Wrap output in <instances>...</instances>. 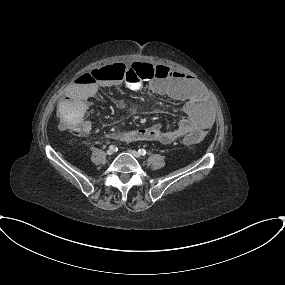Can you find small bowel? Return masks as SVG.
I'll use <instances>...</instances> for the list:
<instances>
[{"instance_id":"c3829d8e","label":"small bowel","mask_w":285,"mask_h":285,"mask_svg":"<svg viewBox=\"0 0 285 285\" xmlns=\"http://www.w3.org/2000/svg\"><path fill=\"white\" fill-rule=\"evenodd\" d=\"M120 65H122L121 69L114 75L91 84L80 83L77 80L72 82L68 88L67 96L58 104L59 117L70 120L79 117L81 121L79 131L82 134H89L93 129V123L83 119L89 109L88 101L100 87L115 88L124 82L132 91L142 89L143 85L139 78L128 67ZM149 88L157 94H164L170 99L180 102L185 116L173 129H167L163 124H157L149 128L117 132L112 135L113 140L120 143L157 141L162 144H170L182 139L193 130H200L204 133L212 125L208 101L192 77L174 73L168 79L151 81ZM125 104L130 105L127 100H125Z\"/></svg>"}]
</instances>
